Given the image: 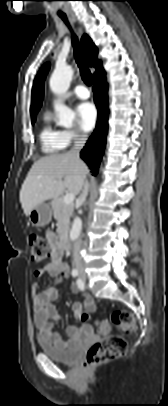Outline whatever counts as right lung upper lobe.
<instances>
[{"mask_svg": "<svg viewBox=\"0 0 168 406\" xmlns=\"http://www.w3.org/2000/svg\"><path fill=\"white\" fill-rule=\"evenodd\" d=\"M81 44L88 65L90 67L96 68V71L94 73V79L105 74L101 61L97 59L98 50L88 35H84L81 38ZM49 68H50L49 63L44 64L34 81L32 91V103L30 109L32 119H36V114L41 107L44 91V79L46 77Z\"/></svg>", "mask_w": 168, "mask_h": 406, "instance_id": "obj_1", "label": "right lung upper lobe"}]
</instances>
